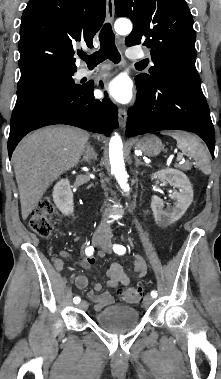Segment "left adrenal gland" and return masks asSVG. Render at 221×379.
<instances>
[{"instance_id": "left-adrenal-gland-1", "label": "left adrenal gland", "mask_w": 221, "mask_h": 379, "mask_svg": "<svg viewBox=\"0 0 221 379\" xmlns=\"http://www.w3.org/2000/svg\"><path fill=\"white\" fill-rule=\"evenodd\" d=\"M139 165H144V163L135 156V166L138 167Z\"/></svg>"}]
</instances>
